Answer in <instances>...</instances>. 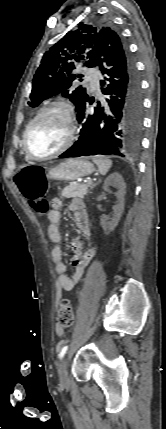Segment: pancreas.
Returning a JSON list of instances; mask_svg holds the SVG:
<instances>
[{
  "instance_id": "cf45deb5",
  "label": "pancreas",
  "mask_w": 166,
  "mask_h": 429,
  "mask_svg": "<svg viewBox=\"0 0 166 429\" xmlns=\"http://www.w3.org/2000/svg\"><path fill=\"white\" fill-rule=\"evenodd\" d=\"M93 186L94 185L92 182L87 184H70L63 189L62 195L65 198H84L88 193V189L92 188Z\"/></svg>"
}]
</instances>
